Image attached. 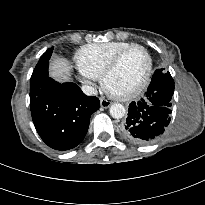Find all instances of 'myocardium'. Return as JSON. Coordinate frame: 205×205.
<instances>
[{"instance_id":"1","label":"myocardium","mask_w":205,"mask_h":205,"mask_svg":"<svg viewBox=\"0 0 205 205\" xmlns=\"http://www.w3.org/2000/svg\"><path fill=\"white\" fill-rule=\"evenodd\" d=\"M133 49L141 50L146 56L147 68H146L145 75H144L142 81L139 83V85L135 89H133L132 91L125 93V94H115L107 88L106 81H107L108 77L118 67V65L120 64L123 57ZM152 71H153V60H152V57H151L149 51L145 47H143L142 45L132 44L129 47L120 51L118 54H116L113 57V59L109 62V64L106 66V68L104 69V71L101 75V84H102V87L104 88V90L107 93H109L112 97H114L118 100H129V99H132V98L138 96L146 88V86L148 85V83L150 81Z\"/></svg>"}]
</instances>
